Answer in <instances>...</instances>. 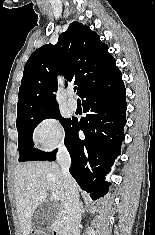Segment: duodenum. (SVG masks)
<instances>
[{"label": "duodenum", "instance_id": "1", "mask_svg": "<svg viewBox=\"0 0 155 235\" xmlns=\"http://www.w3.org/2000/svg\"><path fill=\"white\" fill-rule=\"evenodd\" d=\"M52 235H60V231H59V226L58 225L54 227V231H53Z\"/></svg>", "mask_w": 155, "mask_h": 235}]
</instances>
